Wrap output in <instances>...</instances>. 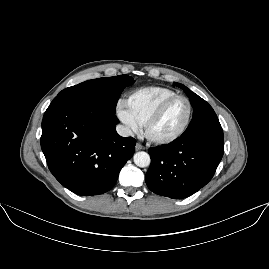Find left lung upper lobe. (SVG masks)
<instances>
[{
	"instance_id": "obj_1",
	"label": "left lung upper lobe",
	"mask_w": 269,
	"mask_h": 269,
	"mask_svg": "<svg viewBox=\"0 0 269 269\" xmlns=\"http://www.w3.org/2000/svg\"><path fill=\"white\" fill-rule=\"evenodd\" d=\"M174 85L184 90L194 109L192 120L181 136H190L209 129H222L217 115L209 103L183 84L175 82Z\"/></svg>"
}]
</instances>
